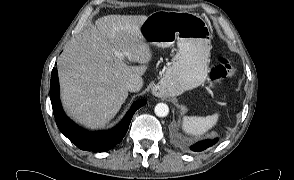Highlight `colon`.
<instances>
[{"mask_svg":"<svg viewBox=\"0 0 294 180\" xmlns=\"http://www.w3.org/2000/svg\"><path fill=\"white\" fill-rule=\"evenodd\" d=\"M236 71L235 59L230 57H221L217 65L210 72L209 88L215 87L226 78L232 77Z\"/></svg>","mask_w":294,"mask_h":180,"instance_id":"obj_1","label":"colon"}]
</instances>
